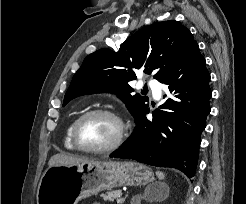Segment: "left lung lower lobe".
<instances>
[{"instance_id": "1", "label": "left lung lower lobe", "mask_w": 246, "mask_h": 204, "mask_svg": "<svg viewBox=\"0 0 246 204\" xmlns=\"http://www.w3.org/2000/svg\"><path fill=\"white\" fill-rule=\"evenodd\" d=\"M210 75L195 44L180 64L162 82L168 86L166 102L146 118L147 108L137 119L130 138L110 157L133 159L158 167L179 169L195 175L201 133L210 113Z\"/></svg>"}]
</instances>
